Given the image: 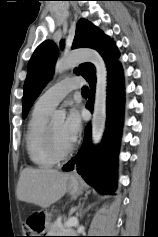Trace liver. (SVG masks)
Listing matches in <instances>:
<instances>
[{
  "label": "liver",
  "instance_id": "liver-1",
  "mask_svg": "<svg viewBox=\"0 0 158 237\" xmlns=\"http://www.w3.org/2000/svg\"><path fill=\"white\" fill-rule=\"evenodd\" d=\"M69 177V174L58 170L26 167L20 173L17 197L47 208L64 196Z\"/></svg>",
  "mask_w": 158,
  "mask_h": 237
}]
</instances>
